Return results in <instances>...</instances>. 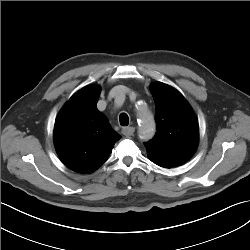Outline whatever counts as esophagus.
<instances>
[{"label":"esophagus","mask_w":250,"mask_h":250,"mask_svg":"<svg viewBox=\"0 0 250 250\" xmlns=\"http://www.w3.org/2000/svg\"><path fill=\"white\" fill-rule=\"evenodd\" d=\"M135 132V128L134 127H124L122 128V133L125 136H132Z\"/></svg>","instance_id":"esophagus-1"}]
</instances>
